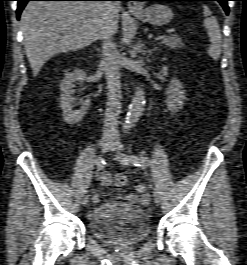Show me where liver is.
<instances>
[{
  "mask_svg": "<svg viewBox=\"0 0 247 265\" xmlns=\"http://www.w3.org/2000/svg\"><path fill=\"white\" fill-rule=\"evenodd\" d=\"M120 4L108 11L102 2L31 1L21 15L25 52L36 77L51 57L83 49L101 39L102 29L118 30Z\"/></svg>",
  "mask_w": 247,
  "mask_h": 265,
  "instance_id": "1",
  "label": "liver"
}]
</instances>
